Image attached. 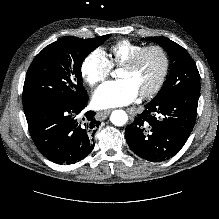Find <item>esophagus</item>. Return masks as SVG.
Instances as JSON below:
<instances>
[{"label": "esophagus", "instance_id": "obj_1", "mask_svg": "<svg viewBox=\"0 0 219 219\" xmlns=\"http://www.w3.org/2000/svg\"><path fill=\"white\" fill-rule=\"evenodd\" d=\"M110 113L111 110H101L97 114V119L103 121L109 116Z\"/></svg>", "mask_w": 219, "mask_h": 219}]
</instances>
